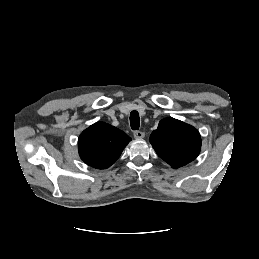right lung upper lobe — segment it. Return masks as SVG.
I'll use <instances>...</instances> for the list:
<instances>
[{
	"mask_svg": "<svg viewBox=\"0 0 259 259\" xmlns=\"http://www.w3.org/2000/svg\"><path fill=\"white\" fill-rule=\"evenodd\" d=\"M131 138L120 129L104 122L84 130L78 141L81 159L91 167L106 169L121 155Z\"/></svg>",
	"mask_w": 259,
	"mask_h": 259,
	"instance_id": "obj_1",
	"label": "right lung upper lobe"
}]
</instances>
